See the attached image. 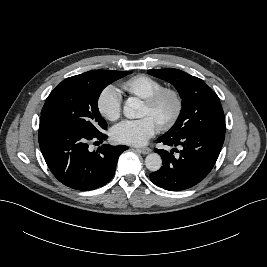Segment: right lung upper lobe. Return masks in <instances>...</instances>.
Returning a JSON list of instances; mask_svg holds the SVG:
<instances>
[{"label":"right lung upper lobe","mask_w":267,"mask_h":267,"mask_svg":"<svg viewBox=\"0 0 267 267\" xmlns=\"http://www.w3.org/2000/svg\"><path fill=\"white\" fill-rule=\"evenodd\" d=\"M94 71H89V72H86V73H83V74H80V75H88V74H91L93 73Z\"/></svg>","instance_id":"cb5924a9"}]
</instances>
